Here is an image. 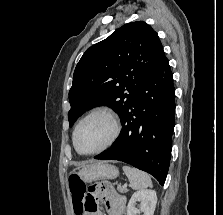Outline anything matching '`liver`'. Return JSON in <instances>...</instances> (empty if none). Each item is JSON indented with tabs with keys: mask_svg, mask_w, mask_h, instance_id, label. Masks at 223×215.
<instances>
[{
	"mask_svg": "<svg viewBox=\"0 0 223 215\" xmlns=\"http://www.w3.org/2000/svg\"><path fill=\"white\" fill-rule=\"evenodd\" d=\"M81 167H84V165H81ZM76 169H78V167H76ZM73 171H74V169H73Z\"/></svg>",
	"mask_w": 223,
	"mask_h": 215,
	"instance_id": "6515ba94",
	"label": "liver"
}]
</instances>
